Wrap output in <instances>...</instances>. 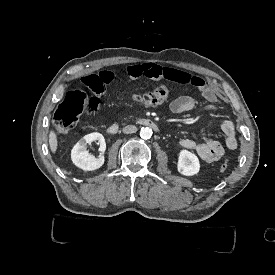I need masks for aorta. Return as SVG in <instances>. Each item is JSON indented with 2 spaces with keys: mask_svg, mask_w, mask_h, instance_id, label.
I'll return each mask as SVG.
<instances>
[{
  "mask_svg": "<svg viewBox=\"0 0 275 275\" xmlns=\"http://www.w3.org/2000/svg\"><path fill=\"white\" fill-rule=\"evenodd\" d=\"M152 134V129L149 127H142L140 130V136L142 139H149L151 138Z\"/></svg>",
  "mask_w": 275,
  "mask_h": 275,
  "instance_id": "1",
  "label": "aorta"
}]
</instances>
